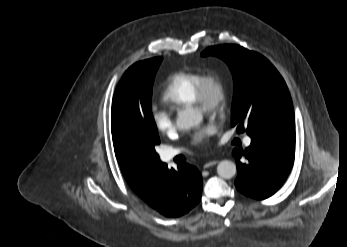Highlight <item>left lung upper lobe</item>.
<instances>
[{
  "label": "left lung upper lobe",
  "mask_w": 347,
  "mask_h": 247,
  "mask_svg": "<svg viewBox=\"0 0 347 247\" xmlns=\"http://www.w3.org/2000/svg\"><path fill=\"white\" fill-rule=\"evenodd\" d=\"M229 66L234 80L231 124L251 137L281 134L295 137V118L288 88L262 55L238 45L208 47ZM244 126L246 128H244Z\"/></svg>",
  "instance_id": "obj_1"
}]
</instances>
